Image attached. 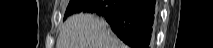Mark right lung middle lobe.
I'll return each instance as SVG.
<instances>
[{
	"mask_svg": "<svg viewBox=\"0 0 213 48\" xmlns=\"http://www.w3.org/2000/svg\"><path fill=\"white\" fill-rule=\"evenodd\" d=\"M87 2H88V0H70L68 7L66 9L65 15H64V20L69 15L81 12Z\"/></svg>",
	"mask_w": 213,
	"mask_h": 48,
	"instance_id": "right-lung-middle-lobe-1",
	"label": "right lung middle lobe"
}]
</instances>
